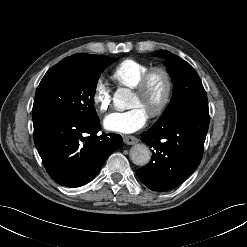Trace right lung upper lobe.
<instances>
[{"instance_id":"cb5924a9","label":"right lung upper lobe","mask_w":247,"mask_h":247,"mask_svg":"<svg viewBox=\"0 0 247 247\" xmlns=\"http://www.w3.org/2000/svg\"><path fill=\"white\" fill-rule=\"evenodd\" d=\"M92 56H94V55L78 53V54H74V55H72L70 57H66L62 61L64 62V61H72V60H86V59H89Z\"/></svg>"}]
</instances>
